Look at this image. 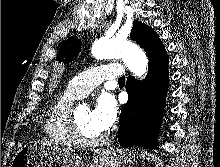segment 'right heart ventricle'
I'll return each mask as SVG.
<instances>
[{
  "mask_svg": "<svg viewBox=\"0 0 220 167\" xmlns=\"http://www.w3.org/2000/svg\"><path fill=\"white\" fill-rule=\"evenodd\" d=\"M78 96L69 89L56 95L49 103L43 124V131L47 138L56 144L72 146L68 131V114L72 103Z\"/></svg>",
  "mask_w": 220,
  "mask_h": 167,
  "instance_id": "right-heart-ventricle-1",
  "label": "right heart ventricle"
}]
</instances>
